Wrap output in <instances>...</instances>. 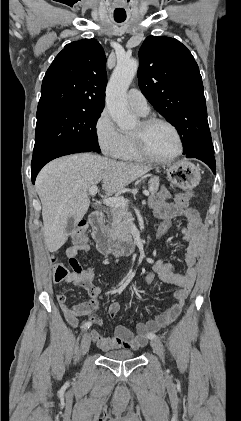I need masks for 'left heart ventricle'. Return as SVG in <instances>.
<instances>
[{"mask_svg": "<svg viewBox=\"0 0 241 421\" xmlns=\"http://www.w3.org/2000/svg\"><path fill=\"white\" fill-rule=\"evenodd\" d=\"M138 128L139 124L133 131ZM146 143L149 151L159 158L171 156L178 147L177 138L173 130L164 124H156L148 130Z\"/></svg>", "mask_w": 241, "mask_h": 421, "instance_id": "obj_1", "label": "left heart ventricle"}]
</instances>
